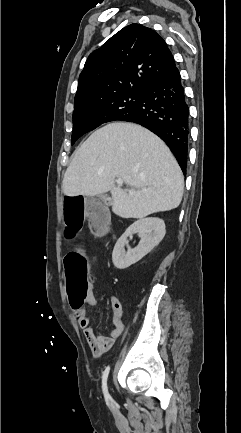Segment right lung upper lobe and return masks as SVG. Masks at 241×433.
Wrapping results in <instances>:
<instances>
[{"instance_id":"obj_1","label":"right lung upper lobe","mask_w":241,"mask_h":433,"mask_svg":"<svg viewBox=\"0 0 241 433\" xmlns=\"http://www.w3.org/2000/svg\"><path fill=\"white\" fill-rule=\"evenodd\" d=\"M176 68L173 55L152 29L131 24L92 52L80 74L75 104L143 88Z\"/></svg>"}]
</instances>
